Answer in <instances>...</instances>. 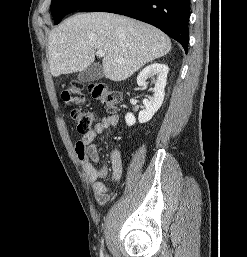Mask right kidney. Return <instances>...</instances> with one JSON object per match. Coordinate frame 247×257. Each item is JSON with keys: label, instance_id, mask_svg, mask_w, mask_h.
Instances as JSON below:
<instances>
[{"label": "right kidney", "instance_id": "obj_1", "mask_svg": "<svg viewBox=\"0 0 247 257\" xmlns=\"http://www.w3.org/2000/svg\"><path fill=\"white\" fill-rule=\"evenodd\" d=\"M167 74L168 66L162 63H153L148 65L139 73L137 77L138 86H144L147 78L156 76L153 97L149 100H144V109L138 116L139 123H146L151 120L154 114L161 107L165 96L164 89L166 86ZM125 121L128 126H132L136 123L135 116L132 113L126 114Z\"/></svg>", "mask_w": 247, "mask_h": 257}]
</instances>
